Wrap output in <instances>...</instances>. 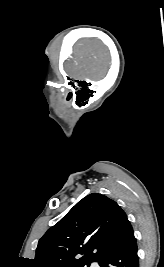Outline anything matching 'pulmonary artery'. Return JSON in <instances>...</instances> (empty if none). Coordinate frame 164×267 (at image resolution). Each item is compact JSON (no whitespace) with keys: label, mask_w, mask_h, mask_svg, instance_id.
Here are the masks:
<instances>
[{"label":"pulmonary artery","mask_w":164,"mask_h":267,"mask_svg":"<svg viewBox=\"0 0 164 267\" xmlns=\"http://www.w3.org/2000/svg\"><path fill=\"white\" fill-rule=\"evenodd\" d=\"M92 267H99V265L98 264H94Z\"/></svg>","instance_id":"pulmonary-artery-1"}]
</instances>
